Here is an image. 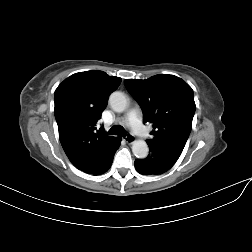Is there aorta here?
<instances>
[{
    "label": "aorta",
    "instance_id": "aorta-1",
    "mask_svg": "<svg viewBox=\"0 0 252 252\" xmlns=\"http://www.w3.org/2000/svg\"><path fill=\"white\" fill-rule=\"evenodd\" d=\"M109 103L111 108L115 112H123L128 104L126 95L122 92H113L109 97ZM132 152L137 158H145L148 155L149 148L145 141L136 140L132 144Z\"/></svg>",
    "mask_w": 252,
    "mask_h": 252
}]
</instances>
